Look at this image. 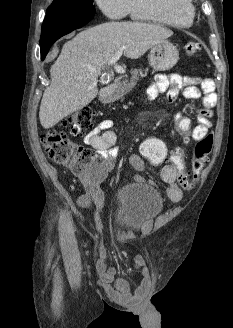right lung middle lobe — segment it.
<instances>
[{"mask_svg": "<svg viewBox=\"0 0 233 328\" xmlns=\"http://www.w3.org/2000/svg\"><path fill=\"white\" fill-rule=\"evenodd\" d=\"M93 0H54L47 14H85L95 13Z\"/></svg>", "mask_w": 233, "mask_h": 328, "instance_id": "1", "label": "right lung middle lobe"}]
</instances>
